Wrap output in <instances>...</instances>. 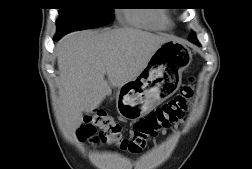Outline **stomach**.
Here are the masks:
<instances>
[{"label": "stomach", "mask_w": 252, "mask_h": 169, "mask_svg": "<svg viewBox=\"0 0 252 169\" xmlns=\"http://www.w3.org/2000/svg\"><path fill=\"white\" fill-rule=\"evenodd\" d=\"M191 60V51L175 40L160 45L141 73L118 88L115 100L120 117L137 120L172 96Z\"/></svg>", "instance_id": "stomach-1"}]
</instances>
